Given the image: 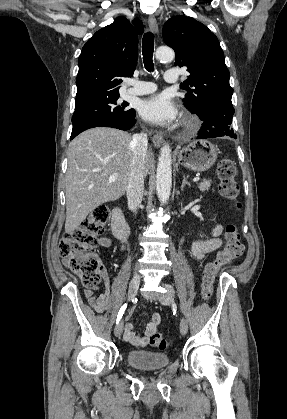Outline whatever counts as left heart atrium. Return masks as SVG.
<instances>
[{
  "mask_svg": "<svg viewBox=\"0 0 287 419\" xmlns=\"http://www.w3.org/2000/svg\"><path fill=\"white\" fill-rule=\"evenodd\" d=\"M140 115L152 123L164 124L175 120L177 110L166 94H156L141 102Z\"/></svg>",
  "mask_w": 287,
  "mask_h": 419,
  "instance_id": "obj_1",
  "label": "left heart atrium"
}]
</instances>
